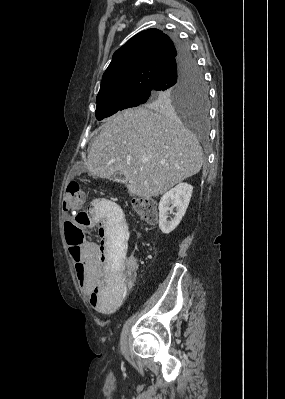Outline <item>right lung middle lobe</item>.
Here are the masks:
<instances>
[{"mask_svg":"<svg viewBox=\"0 0 285 399\" xmlns=\"http://www.w3.org/2000/svg\"><path fill=\"white\" fill-rule=\"evenodd\" d=\"M139 105L165 113L179 112L199 124L208 117V91L197 64L186 70L178 82L163 90L132 89L97 98L96 118Z\"/></svg>","mask_w":285,"mask_h":399,"instance_id":"obj_1","label":"right lung middle lobe"}]
</instances>
